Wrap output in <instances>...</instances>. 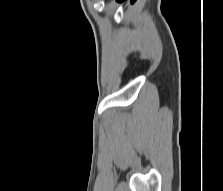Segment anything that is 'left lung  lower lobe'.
I'll list each match as a JSON object with an SVG mask.
<instances>
[{
    "label": "left lung lower lobe",
    "mask_w": 223,
    "mask_h": 191,
    "mask_svg": "<svg viewBox=\"0 0 223 191\" xmlns=\"http://www.w3.org/2000/svg\"><path fill=\"white\" fill-rule=\"evenodd\" d=\"M118 2H123L124 0H117ZM136 0H131V3H134Z\"/></svg>",
    "instance_id": "left-lung-lower-lobe-1"
}]
</instances>
